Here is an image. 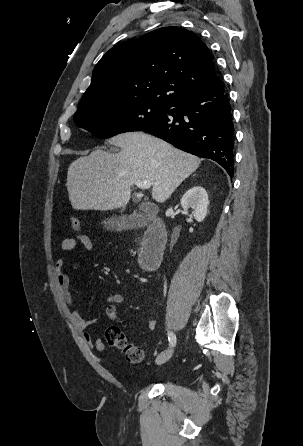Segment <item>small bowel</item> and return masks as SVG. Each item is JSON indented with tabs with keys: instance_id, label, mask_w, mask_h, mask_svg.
I'll return each instance as SVG.
<instances>
[{
	"instance_id": "1",
	"label": "small bowel",
	"mask_w": 303,
	"mask_h": 446,
	"mask_svg": "<svg viewBox=\"0 0 303 446\" xmlns=\"http://www.w3.org/2000/svg\"><path fill=\"white\" fill-rule=\"evenodd\" d=\"M80 243L84 250L88 253L92 252L94 249V243L92 239L87 235H75L70 236L63 239L60 243V248L63 251H71L76 245ZM55 273L57 283L62 291L64 299L66 303L70 306L73 305V297L70 290V281L68 274L65 271V262L63 259H59L55 263ZM125 295L121 293L111 294L106 298V307L104 310L105 315L108 319L120 323H126L127 320L121 316L120 311L117 307V304L123 303L125 301ZM70 318L74 326L83 332V338L87 345L97 351H103L105 349V345L103 341L97 337H94L90 332L87 331V328L94 324L98 317H95L90 320L84 319L81 314L77 310H72L70 312ZM156 326V322L154 320H150L148 322V328L153 330Z\"/></svg>"
}]
</instances>
